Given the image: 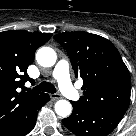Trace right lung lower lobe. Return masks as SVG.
<instances>
[{
	"label": "right lung lower lobe",
	"mask_w": 136,
	"mask_h": 136,
	"mask_svg": "<svg viewBox=\"0 0 136 136\" xmlns=\"http://www.w3.org/2000/svg\"><path fill=\"white\" fill-rule=\"evenodd\" d=\"M49 100V95L44 93L34 102L29 113L27 114L26 118L22 123L4 130L0 133V136H24L29 133L35 125L38 110Z\"/></svg>",
	"instance_id": "98d812e1"
}]
</instances>
